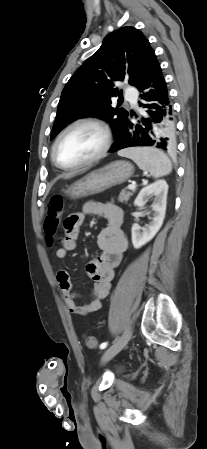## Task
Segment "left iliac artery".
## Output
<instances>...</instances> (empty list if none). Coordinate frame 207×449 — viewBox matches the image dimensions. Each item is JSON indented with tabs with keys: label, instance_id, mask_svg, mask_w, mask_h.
<instances>
[{
	"label": "left iliac artery",
	"instance_id": "44dca946",
	"mask_svg": "<svg viewBox=\"0 0 207 449\" xmlns=\"http://www.w3.org/2000/svg\"><path fill=\"white\" fill-rule=\"evenodd\" d=\"M108 343L104 342L100 345V349H105L107 347Z\"/></svg>",
	"mask_w": 207,
	"mask_h": 449
}]
</instances>
